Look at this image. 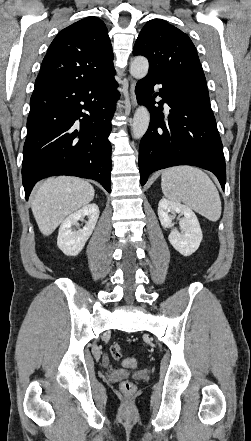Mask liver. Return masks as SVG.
Masks as SVG:
<instances>
[{
    "label": "liver",
    "mask_w": 251,
    "mask_h": 441,
    "mask_svg": "<svg viewBox=\"0 0 251 441\" xmlns=\"http://www.w3.org/2000/svg\"><path fill=\"white\" fill-rule=\"evenodd\" d=\"M94 194L93 186L80 178L61 176L42 181L31 201L40 232L52 234L68 215L90 203Z\"/></svg>",
    "instance_id": "6515ba94"
}]
</instances>
